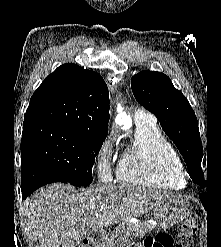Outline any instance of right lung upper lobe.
I'll use <instances>...</instances> for the list:
<instances>
[{
    "mask_svg": "<svg viewBox=\"0 0 221 247\" xmlns=\"http://www.w3.org/2000/svg\"><path fill=\"white\" fill-rule=\"evenodd\" d=\"M24 118L23 129L70 126L106 137L107 85L97 72L63 64L34 92Z\"/></svg>",
    "mask_w": 221,
    "mask_h": 247,
    "instance_id": "1",
    "label": "right lung upper lobe"
}]
</instances>
